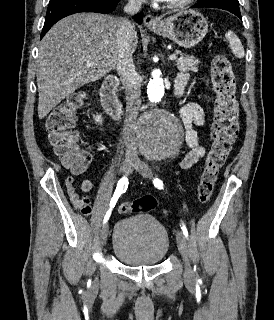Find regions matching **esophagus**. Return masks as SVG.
Returning <instances> with one entry per match:
<instances>
[{
	"label": "esophagus",
	"mask_w": 274,
	"mask_h": 320,
	"mask_svg": "<svg viewBox=\"0 0 274 320\" xmlns=\"http://www.w3.org/2000/svg\"><path fill=\"white\" fill-rule=\"evenodd\" d=\"M159 22L156 18H154L152 15H146L144 18V24L146 26H154L157 25Z\"/></svg>",
	"instance_id": "34e87169"
}]
</instances>
